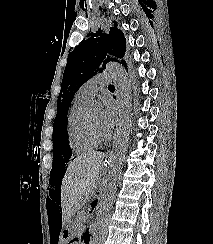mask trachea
<instances>
[{
  "label": "trachea",
  "instance_id": "1",
  "mask_svg": "<svg viewBox=\"0 0 213 244\" xmlns=\"http://www.w3.org/2000/svg\"><path fill=\"white\" fill-rule=\"evenodd\" d=\"M109 88H114V85H110Z\"/></svg>",
  "mask_w": 213,
  "mask_h": 244
}]
</instances>
